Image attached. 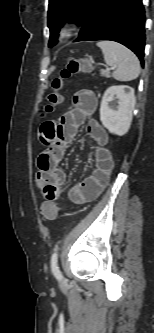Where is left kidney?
I'll list each match as a JSON object with an SVG mask.
<instances>
[{
    "mask_svg": "<svg viewBox=\"0 0 154 333\" xmlns=\"http://www.w3.org/2000/svg\"><path fill=\"white\" fill-rule=\"evenodd\" d=\"M117 99V105L113 101ZM134 89L126 85L109 87L101 101L100 120L112 134L123 136L131 125L135 107Z\"/></svg>",
    "mask_w": 154,
    "mask_h": 333,
    "instance_id": "left-kidney-1",
    "label": "left kidney"
}]
</instances>
